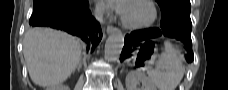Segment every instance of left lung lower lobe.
<instances>
[{"mask_svg":"<svg viewBox=\"0 0 228 90\" xmlns=\"http://www.w3.org/2000/svg\"><path fill=\"white\" fill-rule=\"evenodd\" d=\"M180 20H183L180 18ZM191 25L179 24L177 22H167L161 20L160 28H150L140 31H134L125 37V44L122 50L120 61L129 57L132 52V44L137 45V42L143 41L145 39L159 37L161 35L175 38L180 40L187 49V54L185 58L188 62H192L194 59L192 51V41H191Z\"/></svg>","mask_w":228,"mask_h":90,"instance_id":"obj_1","label":"left lung lower lobe"}]
</instances>
